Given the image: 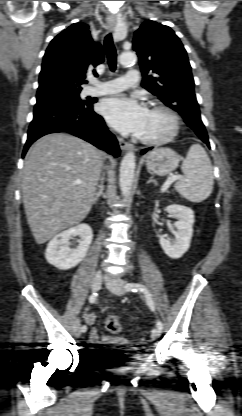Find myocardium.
Here are the masks:
<instances>
[{
	"label": "myocardium",
	"instance_id": "obj_1",
	"mask_svg": "<svg viewBox=\"0 0 242 416\" xmlns=\"http://www.w3.org/2000/svg\"><path fill=\"white\" fill-rule=\"evenodd\" d=\"M150 109L162 111L168 115L170 119L169 130L165 135L158 137V138L146 139V138L137 137V140L141 142L142 144L149 145V146L162 145L171 141L178 134L179 127H180V118L177 112L172 107L163 103H154L150 106Z\"/></svg>",
	"mask_w": 242,
	"mask_h": 416
}]
</instances>
